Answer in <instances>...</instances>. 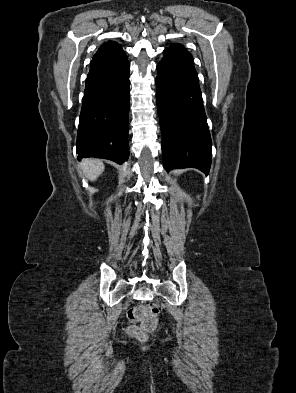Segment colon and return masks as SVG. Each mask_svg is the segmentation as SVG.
<instances>
[{"mask_svg":"<svg viewBox=\"0 0 296 393\" xmlns=\"http://www.w3.org/2000/svg\"><path fill=\"white\" fill-rule=\"evenodd\" d=\"M158 313V306L152 303L141 304L130 308L127 313L128 319L139 325L129 326L127 328L128 334L139 340L146 339L148 334L158 326Z\"/></svg>","mask_w":296,"mask_h":393,"instance_id":"obj_1","label":"colon"}]
</instances>
